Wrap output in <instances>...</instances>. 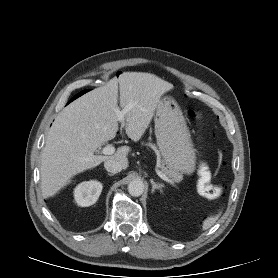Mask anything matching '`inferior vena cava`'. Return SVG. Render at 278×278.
Instances as JSON below:
<instances>
[{
	"mask_svg": "<svg viewBox=\"0 0 278 278\" xmlns=\"http://www.w3.org/2000/svg\"><path fill=\"white\" fill-rule=\"evenodd\" d=\"M104 167L108 172L118 173L123 169V165L115 160H107L104 162Z\"/></svg>",
	"mask_w": 278,
	"mask_h": 278,
	"instance_id": "inferior-vena-cava-1",
	"label": "inferior vena cava"
}]
</instances>
